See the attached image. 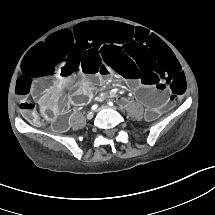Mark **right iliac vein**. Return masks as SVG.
<instances>
[{
	"label": "right iliac vein",
	"mask_w": 215,
	"mask_h": 215,
	"mask_svg": "<svg viewBox=\"0 0 215 215\" xmlns=\"http://www.w3.org/2000/svg\"><path fill=\"white\" fill-rule=\"evenodd\" d=\"M93 116H94V113L90 112V113L87 114V119H91Z\"/></svg>",
	"instance_id": "right-iliac-vein-1"
}]
</instances>
